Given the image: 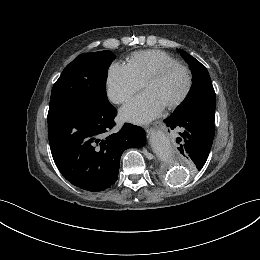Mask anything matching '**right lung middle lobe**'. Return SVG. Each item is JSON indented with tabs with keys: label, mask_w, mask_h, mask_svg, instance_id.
Returning <instances> with one entry per match:
<instances>
[{
	"label": "right lung middle lobe",
	"mask_w": 260,
	"mask_h": 260,
	"mask_svg": "<svg viewBox=\"0 0 260 260\" xmlns=\"http://www.w3.org/2000/svg\"><path fill=\"white\" fill-rule=\"evenodd\" d=\"M114 58L111 51L105 50L81 54L68 64L52 88L48 116L93 113L109 106L105 84Z\"/></svg>",
	"instance_id": "obj_1"
}]
</instances>
